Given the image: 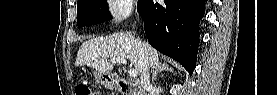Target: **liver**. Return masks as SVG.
I'll return each instance as SVG.
<instances>
[{"label":"liver","instance_id":"6515ba94","mask_svg":"<svg viewBox=\"0 0 277 95\" xmlns=\"http://www.w3.org/2000/svg\"><path fill=\"white\" fill-rule=\"evenodd\" d=\"M138 41L141 42L128 33H115L84 41L78 50L75 65H87L96 71L109 73L113 70V64L109 62V58L117 57L130 60V63L138 70ZM141 44L152 69L165 65L160 62L159 52L156 49L146 42H141Z\"/></svg>","mask_w":277,"mask_h":95}]
</instances>
